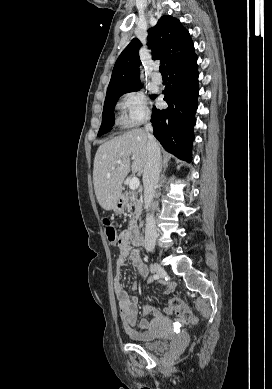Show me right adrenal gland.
Returning <instances> with one entry per match:
<instances>
[{"mask_svg": "<svg viewBox=\"0 0 272 389\" xmlns=\"http://www.w3.org/2000/svg\"><path fill=\"white\" fill-rule=\"evenodd\" d=\"M161 171H162V169H163V160H161Z\"/></svg>", "mask_w": 272, "mask_h": 389, "instance_id": "obj_1", "label": "right adrenal gland"}]
</instances>
